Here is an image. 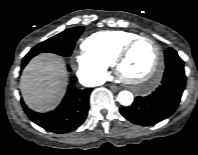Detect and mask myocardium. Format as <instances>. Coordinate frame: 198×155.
<instances>
[{
  "label": "myocardium",
  "mask_w": 198,
  "mask_h": 155,
  "mask_svg": "<svg viewBox=\"0 0 198 155\" xmlns=\"http://www.w3.org/2000/svg\"><path fill=\"white\" fill-rule=\"evenodd\" d=\"M149 41L154 45L155 51H156V60L155 64L153 66V69L151 70L149 76L143 80V81H133L127 77H125L122 74L121 71V64L122 62L126 59L132 48L140 41ZM163 63H164V57H163V51L159 45V43L153 39L152 37L149 36H144V35H138L131 40L127 41L121 49L118 51V53L115 55L114 60H113V65L116 71L117 76L119 79L132 87L134 90L138 92H149L153 90L160 78H161V73H162V68H163Z\"/></svg>",
  "instance_id": "f54148a6"
}]
</instances>
